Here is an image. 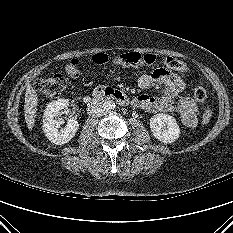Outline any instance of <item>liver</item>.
Wrapping results in <instances>:
<instances>
[{"mask_svg":"<svg viewBox=\"0 0 233 233\" xmlns=\"http://www.w3.org/2000/svg\"><path fill=\"white\" fill-rule=\"evenodd\" d=\"M38 96L31 85H28L25 93L24 115L28 129L32 130L35 124Z\"/></svg>","mask_w":233,"mask_h":233,"instance_id":"obj_1","label":"liver"}]
</instances>
